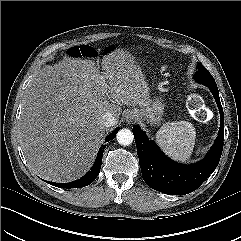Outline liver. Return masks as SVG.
<instances>
[{
	"mask_svg": "<svg viewBox=\"0 0 241 241\" xmlns=\"http://www.w3.org/2000/svg\"><path fill=\"white\" fill-rule=\"evenodd\" d=\"M101 69L92 60L65 57L32 78L18 129L28 167L41 178H80L107 130L102 116L110 112L118 122L122 105L149 100L145 76L131 54L113 50L103 57Z\"/></svg>",
	"mask_w": 241,
	"mask_h": 241,
	"instance_id": "6515ba94",
	"label": "liver"
}]
</instances>
